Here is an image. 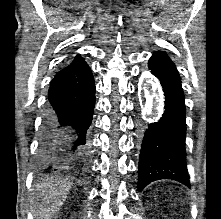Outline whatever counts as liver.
Wrapping results in <instances>:
<instances>
[{
    "mask_svg": "<svg viewBox=\"0 0 221 219\" xmlns=\"http://www.w3.org/2000/svg\"><path fill=\"white\" fill-rule=\"evenodd\" d=\"M72 183L51 181L37 185L35 197L30 201L31 211L36 219H54L67 198Z\"/></svg>",
    "mask_w": 221,
    "mask_h": 219,
    "instance_id": "6515ba94",
    "label": "liver"
}]
</instances>
